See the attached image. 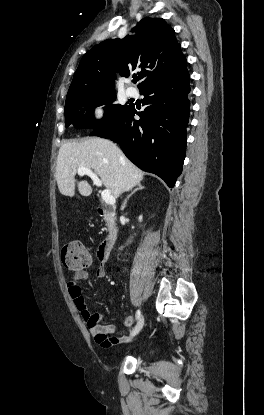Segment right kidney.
Here are the masks:
<instances>
[{"label": "right kidney", "mask_w": 264, "mask_h": 415, "mask_svg": "<svg viewBox=\"0 0 264 415\" xmlns=\"http://www.w3.org/2000/svg\"><path fill=\"white\" fill-rule=\"evenodd\" d=\"M141 220H142V216L139 217V221H141Z\"/></svg>", "instance_id": "obj_1"}]
</instances>
